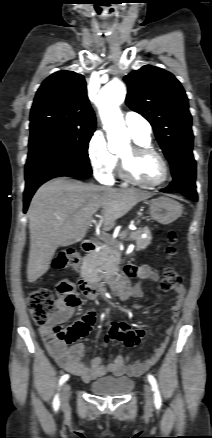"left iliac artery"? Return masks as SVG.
Listing matches in <instances>:
<instances>
[{
    "instance_id": "left-iliac-artery-1",
    "label": "left iliac artery",
    "mask_w": 212,
    "mask_h": 438,
    "mask_svg": "<svg viewBox=\"0 0 212 438\" xmlns=\"http://www.w3.org/2000/svg\"><path fill=\"white\" fill-rule=\"evenodd\" d=\"M148 380L152 386V390L154 392V402L157 407L161 406L162 400L158 390L156 379L152 375H148Z\"/></svg>"
}]
</instances>
